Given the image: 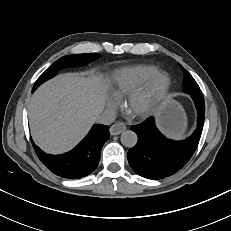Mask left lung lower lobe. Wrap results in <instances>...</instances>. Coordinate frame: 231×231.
Returning a JSON list of instances; mask_svg holds the SVG:
<instances>
[{"label": "left lung lower lobe", "mask_w": 231, "mask_h": 231, "mask_svg": "<svg viewBox=\"0 0 231 231\" xmlns=\"http://www.w3.org/2000/svg\"><path fill=\"white\" fill-rule=\"evenodd\" d=\"M197 108V128L186 140L165 138L156 128L154 118L131 126L138 136L137 144L128 151L132 169L148 179H162L175 174L195 152L203 129L205 104L194 101Z\"/></svg>", "instance_id": "left-lung-lower-lobe-1"}]
</instances>
